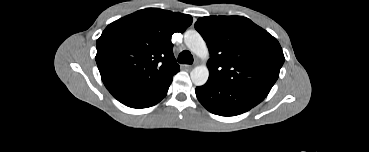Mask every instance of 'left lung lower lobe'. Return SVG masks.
Instances as JSON below:
<instances>
[{
	"instance_id": "1",
	"label": "left lung lower lobe",
	"mask_w": 369,
	"mask_h": 152,
	"mask_svg": "<svg viewBox=\"0 0 369 152\" xmlns=\"http://www.w3.org/2000/svg\"><path fill=\"white\" fill-rule=\"evenodd\" d=\"M195 92L200 103L208 111L220 116L242 114L265 98L261 94L227 87L210 79L205 85L197 87Z\"/></svg>"
}]
</instances>
